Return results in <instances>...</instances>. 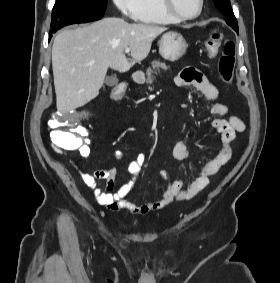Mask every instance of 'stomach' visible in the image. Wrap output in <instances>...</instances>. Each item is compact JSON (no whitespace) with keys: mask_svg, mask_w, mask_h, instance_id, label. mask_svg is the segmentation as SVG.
I'll return each instance as SVG.
<instances>
[{"mask_svg":"<svg viewBox=\"0 0 280 283\" xmlns=\"http://www.w3.org/2000/svg\"><path fill=\"white\" fill-rule=\"evenodd\" d=\"M187 46L180 33L169 31L163 34L159 41V53L165 60L174 62L185 54Z\"/></svg>","mask_w":280,"mask_h":283,"instance_id":"0dacf381","label":"stomach"}]
</instances>
